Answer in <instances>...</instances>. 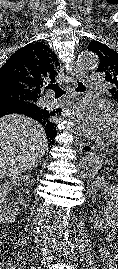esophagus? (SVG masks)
I'll return each instance as SVG.
<instances>
[{"mask_svg":"<svg viewBox=\"0 0 118 269\" xmlns=\"http://www.w3.org/2000/svg\"><path fill=\"white\" fill-rule=\"evenodd\" d=\"M76 75L77 78L83 79L86 75V71L78 69L76 70ZM78 149L82 154H90L94 150V147L90 143L80 142Z\"/></svg>","mask_w":118,"mask_h":269,"instance_id":"obj_1","label":"esophagus"}]
</instances>
